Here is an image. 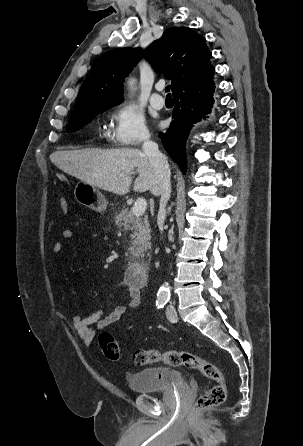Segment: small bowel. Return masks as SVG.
<instances>
[{"label": "small bowel", "instance_id": "1", "mask_svg": "<svg viewBox=\"0 0 303 446\" xmlns=\"http://www.w3.org/2000/svg\"><path fill=\"white\" fill-rule=\"evenodd\" d=\"M62 237L64 240H71L74 237V231L70 228H66L62 231ZM54 253L59 254L63 250L62 242L55 243L53 247ZM128 288V305L119 304L116 305L109 313H105L104 308H100L97 311L91 313L86 317H81L79 314H73L71 317L72 325L77 332L80 339L86 344L91 345L94 341L95 331L97 329H103L116 322H118L127 312L128 308H135L140 304L141 291L139 287L132 286L127 282ZM97 298H101V294L97 291L92 292Z\"/></svg>", "mask_w": 303, "mask_h": 446}]
</instances>
